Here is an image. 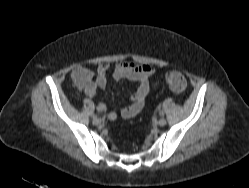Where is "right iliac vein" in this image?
<instances>
[{"label":"right iliac vein","mask_w":249,"mask_h":188,"mask_svg":"<svg viewBox=\"0 0 249 188\" xmlns=\"http://www.w3.org/2000/svg\"><path fill=\"white\" fill-rule=\"evenodd\" d=\"M101 123V120L97 117L93 119V124L99 125Z\"/></svg>","instance_id":"1"}]
</instances>
